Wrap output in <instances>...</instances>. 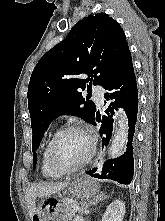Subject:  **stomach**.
I'll return each instance as SVG.
<instances>
[{"label": "stomach", "mask_w": 165, "mask_h": 221, "mask_svg": "<svg viewBox=\"0 0 165 221\" xmlns=\"http://www.w3.org/2000/svg\"><path fill=\"white\" fill-rule=\"evenodd\" d=\"M66 191L75 198H91L99 192V185L88 177L74 178ZM35 209V212H31L32 221H66V218H48L57 217V213L65 212L62 200H36Z\"/></svg>", "instance_id": "1"}]
</instances>
